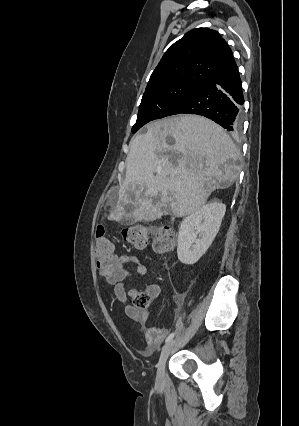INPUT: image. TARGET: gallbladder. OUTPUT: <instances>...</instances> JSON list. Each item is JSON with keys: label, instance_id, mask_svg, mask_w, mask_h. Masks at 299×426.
Segmentation results:
<instances>
[{"label": "gallbladder", "instance_id": "bac80fb5", "mask_svg": "<svg viewBox=\"0 0 299 426\" xmlns=\"http://www.w3.org/2000/svg\"><path fill=\"white\" fill-rule=\"evenodd\" d=\"M125 210H126V212H127V213H132V211H133V206H132V205H130V204H128V205L125 207Z\"/></svg>", "mask_w": 299, "mask_h": 426}]
</instances>
